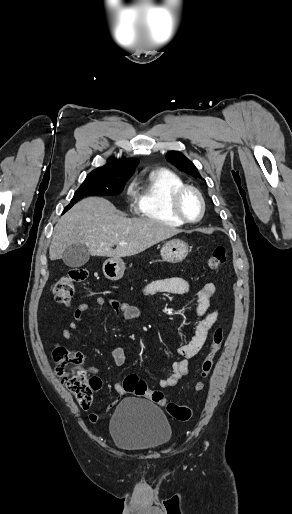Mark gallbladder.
Returning a JSON list of instances; mask_svg holds the SVG:
<instances>
[{
  "label": "gallbladder",
  "mask_w": 292,
  "mask_h": 514,
  "mask_svg": "<svg viewBox=\"0 0 292 514\" xmlns=\"http://www.w3.org/2000/svg\"><path fill=\"white\" fill-rule=\"evenodd\" d=\"M90 256L86 244H71L65 248L62 260L69 268H80L88 262Z\"/></svg>",
  "instance_id": "1"
}]
</instances>
